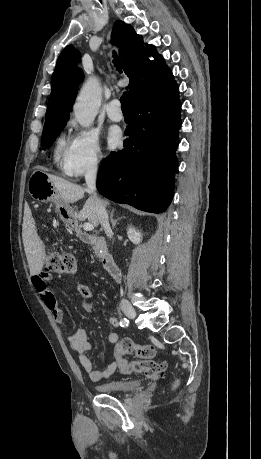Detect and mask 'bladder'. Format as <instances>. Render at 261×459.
I'll use <instances>...</instances> for the list:
<instances>
[{
  "instance_id": "bladder-1",
  "label": "bladder",
  "mask_w": 261,
  "mask_h": 459,
  "mask_svg": "<svg viewBox=\"0 0 261 459\" xmlns=\"http://www.w3.org/2000/svg\"><path fill=\"white\" fill-rule=\"evenodd\" d=\"M140 381L137 379H116L96 386L102 393H127L139 388Z\"/></svg>"
}]
</instances>
